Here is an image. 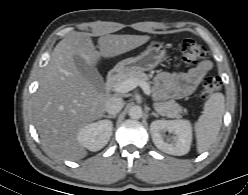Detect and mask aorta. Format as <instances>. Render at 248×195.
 <instances>
[{"label": "aorta", "instance_id": "762f6f07", "mask_svg": "<svg viewBox=\"0 0 248 195\" xmlns=\"http://www.w3.org/2000/svg\"><path fill=\"white\" fill-rule=\"evenodd\" d=\"M142 108L140 106H132L130 109H129V116L132 118V119H139L142 117Z\"/></svg>", "mask_w": 248, "mask_h": 195}]
</instances>
